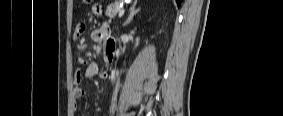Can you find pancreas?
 I'll return each instance as SVG.
<instances>
[{
    "mask_svg": "<svg viewBox=\"0 0 283 116\" xmlns=\"http://www.w3.org/2000/svg\"><path fill=\"white\" fill-rule=\"evenodd\" d=\"M120 10V1H116L115 3L109 5L105 11V15L110 19L115 18L116 14Z\"/></svg>",
    "mask_w": 283,
    "mask_h": 116,
    "instance_id": "1",
    "label": "pancreas"
}]
</instances>
